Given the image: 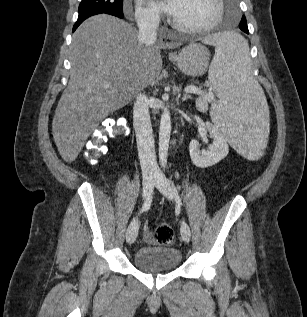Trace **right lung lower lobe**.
<instances>
[{"mask_svg": "<svg viewBox=\"0 0 307 317\" xmlns=\"http://www.w3.org/2000/svg\"><path fill=\"white\" fill-rule=\"evenodd\" d=\"M96 14H101V13H94V14H89V15H85V16H81V17H78V20L77 22L75 23V25L73 26V32L77 29V27L85 20L87 19L88 17L90 16H93V15H96ZM119 18H123V15Z\"/></svg>", "mask_w": 307, "mask_h": 317, "instance_id": "98d812e1", "label": "right lung lower lobe"}]
</instances>
